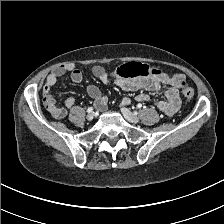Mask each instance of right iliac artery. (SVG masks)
<instances>
[{"instance_id": "82829eb1", "label": "right iliac artery", "mask_w": 224, "mask_h": 224, "mask_svg": "<svg viewBox=\"0 0 224 224\" xmlns=\"http://www.w3.org/2000/svg\"><path fill=\"white\" fill-rule=\"evenodd\" d=\"M87 112H88V113L93 112V108H92V107H89V108L87 109Z\"/></svg>"}]
</instances>
